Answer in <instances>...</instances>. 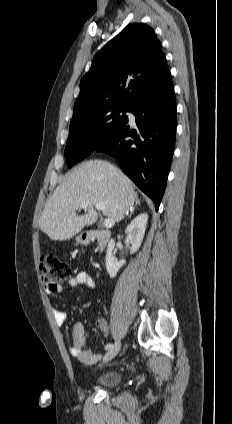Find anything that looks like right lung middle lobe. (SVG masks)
I'll return each instance as SVG.
<instances>
[{
    "label": "right lung middle lobe",
    "instance_id": "right-lung-middle-lobe-1",
    "mask_svg": "<svg viewBox=\"0 0 232 424\" xmlns=\"http://www.w3.org/2000/svg\"><path fill=\"white\" fill-rule=\"evenodd\" d=\"M131 106L108 105L90 108L72 118L64 151L68 167L91 154L128 123Z\"/></svg>",
    "mask_w": 232,
    "mask_h": 424
}]
</instances>
